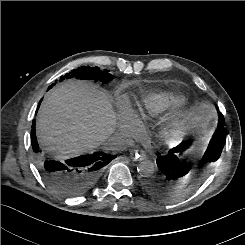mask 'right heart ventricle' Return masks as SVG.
<instances>
[{"mask_svg": "<svg viewBox=\"0 0 245 245\" xmlns=\"http://www.w3.org/2000/svg\"><path fill=\"white\" fill-rule=\"evenodd\" d=\"M174 103H177V100L170 94H149L144 99V108L140 111L139 116L145 118L147 116L159 115Z\"/></svg>", "mask_w": 245, "mask_h": 245, "instance_id": "e07e8e85", "label": "right heart ventricle"}]
</instances>
